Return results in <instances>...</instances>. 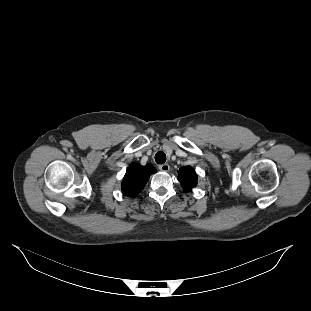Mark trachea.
Returning a JSON list of instances; mask_svg holds the SVG:
<instances>
[{
	"label": "trachea",
	"mask_w": 311,
	"mask_h": 311,
	"mask_svg": "<svg viewBox=\"0 0 311 311\" xmlns=\"http://www.w3.org/2000/svg\"><path fill=\"white\" fill-rule=\"evenodd\" d=\"M155 161L157 164H163L166 161V155L164 152L159 151L155 155Z\"/></svg>",
	"instance_id": "3493384b"
}]
</instances>
